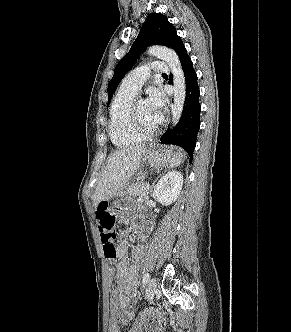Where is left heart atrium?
Masks as SVG:
<instances>
[{
    "mask_svg": "<svg viewBox=\"0 0 291 332\" xmlns=\"http://www.w3.org/2000/svg\"><path fill=\"white\" fill-rule=\"evenodd\" d=\"M147 103L153 111L156 120L160 123L162 121V108L165 103V96L161 90L152 88L149 91Z\"/></svg>",
    "mask_w": 291,
    "mask_h": 332,
    "instance_id": "obj_1",
    "label": "left heart atrium"
}]
</instances>
